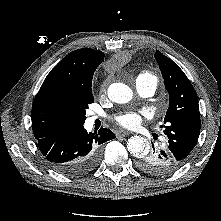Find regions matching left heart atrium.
Segmentation results:
<instances>
[{"instance_id":"39dd6f15","label":"left heart atrium","mask_w":221,"mask_h":221,"mask_svg":"<svg viewBox=\"0 0 221 221\" xmlns=\"http://www.w3.org/2000/svg\"><path fill=\"white\" fill-rule=\"evenodd\" d=\"M114 120L123 127L134 128L140 122V117L136 112H125L115 116Z\"/></svg>"}]
</instances>
